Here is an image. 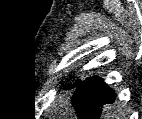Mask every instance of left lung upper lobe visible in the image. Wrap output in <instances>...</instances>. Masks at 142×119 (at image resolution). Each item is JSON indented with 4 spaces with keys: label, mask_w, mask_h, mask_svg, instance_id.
I'll return each mask as SVG.
<instances>
[{
    "label": "left lung upper lobe",
    "mask_w": 142,
    "mask_h": 119,
    "mask_svg": "<svg viewBox=\"0 0 142 119\" xmlns=\"http://www.w3.org/2000/svg\"><path fill=\"white\" fill-rule=\"evenodd\" d=\"M81 83V80H76L73 84H68V86L65 87L66 90H70L73 88H76Z\"/></svg>",
    "instance_id": "obj_1"
}]
</instances>
